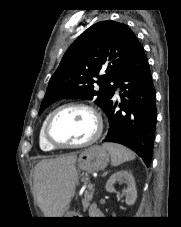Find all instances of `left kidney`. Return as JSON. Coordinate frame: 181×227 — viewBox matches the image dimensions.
I'll list each match as a JSON object with an SVG mask.
<instances>
[{"label": "left kidney", "instance_id": "5707ae66", "mask_svg": "<svg viewBox=\"0 0 181 227\" xmlns=\"http://www.w3.org/2000/svg\"><path fill=\"white\" fill-rule=\"evenodd\" d=\"M116 182L127 184V188L123 191L125 202L127 205H133L137 199V190L133 175L127 170H121L112 174L106 182V190L111 193L116 192L114 188Z\"/></svg>", "mask_w": 181, "mask_h": 227}]
</instances>
